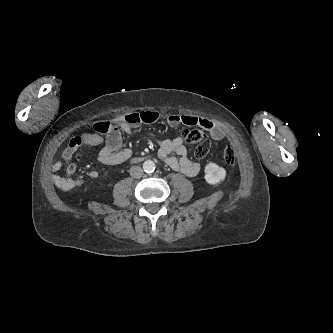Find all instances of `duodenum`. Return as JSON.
Wrapping results in <instances>:
<instances>
[{
	"label": "duodenum",
	"mask_w": 333,
	"mask_h": 333,
	"mask_svg": "<svg viewBox=\"0 0 333 333\" xmlns=\"http://www.w3.org/2000/svg\"><path fill=\"white\" fill-rule=\"evenodd\" d=\"M140 160V158H135V159H133L132 161L133 162H138Z\"/></svg>",
	"instance_id": "obj_1"
}]
</instances>
